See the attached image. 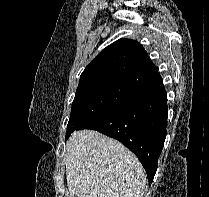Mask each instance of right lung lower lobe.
<instances>
[{
  "mask_svg": "<svg viewBox=\"0 0 209 197\" xmlns=\"http://www.w3.org/2000/svg\"><path fill=\"white\" fill-rule=\"evenodd\" d=\"M167 117V94L161 81L138 91L77 130L93 129L119 140L138 157L150 184L164 145Z\"/></svg>",
  "mask_w": 209,
  "mask_h": 197,
  "instance_id": "1",
  "label": "right lung lower lobe"
}]
</instances>
